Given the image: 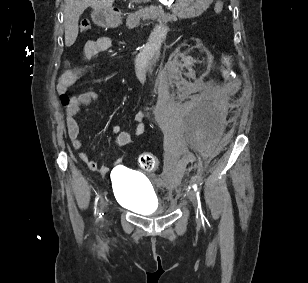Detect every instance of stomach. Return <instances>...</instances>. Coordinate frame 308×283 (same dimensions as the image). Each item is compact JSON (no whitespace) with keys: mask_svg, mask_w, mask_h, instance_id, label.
Segmentation results:
<instances>
[{"mask_svg":"<svg viewBox=\"0 0 308 283\" xmlns=\"http://www.w3.org/2000/svg\"><path fill=\"white\" fill-rule=\"evenodd\" d=\"M213 0H176L172 12L180 18H194L201 15L210 6ZM94 21L105 27H117L121 20L104 11H98Z\"/></svg>","mask_w":308,"mask_h":283,"instance_id":"stomach-1","label":"stomach"}]
</instances>
